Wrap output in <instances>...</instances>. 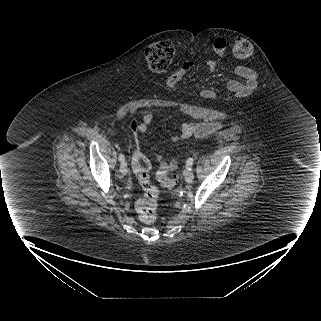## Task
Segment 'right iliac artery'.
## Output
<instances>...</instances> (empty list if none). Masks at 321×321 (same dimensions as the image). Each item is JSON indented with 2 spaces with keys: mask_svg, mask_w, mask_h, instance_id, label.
<instances>
[{
  "mask_svg": "<svg viewBox=\"0 0 321 321\" xmlns=\"http://www.w3.org/2000/svg\"><path fill=\"white\" fill-rule=\"evenodd\" d=\"M124 160H125L124 155L120 154V155H119V161H120V162H123Z\"/></svg>",
  "mask_w": 321,
  "mask_h": 321,
  "instance_id": "right-iliac-artery-1",
  "label": "right iliac artery"
}]
</instances>
